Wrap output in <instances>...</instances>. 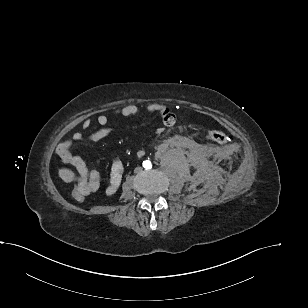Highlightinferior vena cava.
Returning <instances> with one entry per match:
<instances>
[{"label": "inferior vena cava", "instance_id": "1", "mask_svg": "<svg viewBox=\"0 0 308 308\" xmlns=\"http://www.w3.org/2000/svg\"><path fill=\"white\" fill-rule=\"evenodd\" d=\"M135 170H136V171H138V170H140V168H139V167H137Z\"/></svg>", "mask_w": 308, "mask_h": 308}]
</instances>
